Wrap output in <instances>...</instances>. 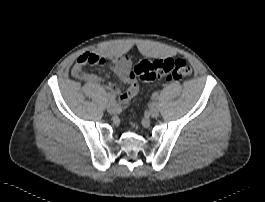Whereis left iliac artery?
Wrapping results in <instances>:
<instances>
[{
  "mask_svg": "<svg viewBox=\"0 0 265 202\" xmlns=\"http://www.w3.org/2000/svg\"><path fill=\"white\" fill-rule=\"evenodd\" d=\"M158 97H159V96H158V94H157V93H153V95H152V98H153V99L157 100V99H158Z\"/></svg>",
  "mask_w": 265,
  "mask_h": 202,
  "instance_id": "44dca946",
  "label": "left iliac artery"
}]
</instances>
